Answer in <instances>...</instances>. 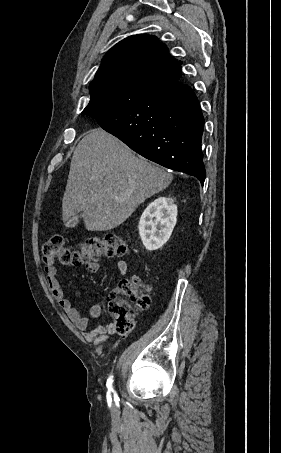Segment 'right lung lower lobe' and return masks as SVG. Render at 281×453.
<instances>
[{
	"instance_id": "1",
	"label": "right lung lower lobe",
	"mask_w": 281,
	"mask_h": 453,
	"mask_svg": "<svg viewBox=\"0 0 281 453\" xmlns=\"http://www.w3.org/2000/svg\"><path fill=\"white\" fill-rule=\"evenodd\" d=\"M82 113L143 157L204 184V118L194 92L179 80Z\"/></svg>"
}]
</instances>
